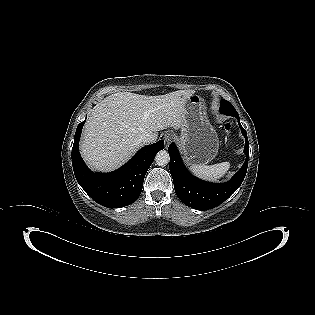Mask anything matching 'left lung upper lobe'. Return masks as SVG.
<instances>
[{
    "label": "left lung upper lobe",
    "instance_id": "1",
    "mask_svg": "<svg viewBox=\"0 0 315 315\" xmlns=\"http://www.w3.org/2000/svg\"><path fill=\"white\" fill-rule=\"evenodd\" d=\"M220 112L228 116L234 117L239 116L233 105L230 102L226 101L225 99L221 100Z\"/></svg>",
    "mask_w": 315,
    "mask_h": 315
}]
</instances>
